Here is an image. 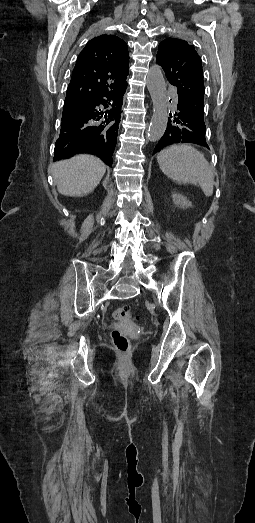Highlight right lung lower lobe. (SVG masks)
Listing matches in <instances>:
<instances>
[{"instance_id":"right-lung-lower-lobe-1","label":"right lung lower lobe","mask_w":255,"mask_h":523,"mask_svg":"<svg viewBox=\"0 0 255 523\" xmlns=\"http://www.w3.org/2000/svg\"><path fill=\"white\" fill-rule=\"evenodd\" d=\"M79 116L83 118V142L91 145L100 140V103L91 101L79 105Z\"/></svg>"}]
</instances>
